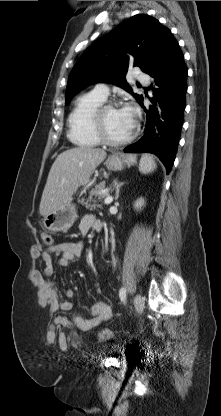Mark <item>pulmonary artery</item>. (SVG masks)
Segmentation results:
<instances>
[{
	"label": "pulmonary artery",
	"mask_w": 221,
	"mask_h": 416,
	"mask_svg": "<svg viewBox=\"0 0 221 416\" xmlns=\"http://www.w3.org/2000/svg\"><path fill=\"white\" fill-rule=\"evenodd\" d=\"M137 79L141 83H148V76H146L144 74H139ZM93 91L95 93L99 94L100 96L104 97V98H107L108 95H109V88L104 83H99V84L95 85Z\"/></svg>",
	"instance_id": "e3ab8cb5"
}]
</instances>
